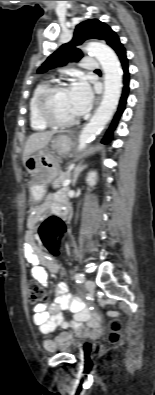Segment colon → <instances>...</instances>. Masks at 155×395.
<instances>
[{
  "instance_id": "obj_1",
  "label": "colon",
  "mask_w": 155,
  "mask_h": 395,
  "mask_svg": "<svg viewBox=\"0 0 155 395\" xmlns=\"http://www.w3.org/2000/svg\"><path fill=\"white\" fill-rule=\"evenodd\" d=\"M60 215H47L38 233L40 235L43 245L47 251H50L51 256H60L61 251L59 245L61 243V236L66 234L67 224L60 223ZM46 293L44 289L36 281L29 283V301L33 304L41 303L45 300ZM121 322L119 319H114L111 322L110 331L108 334V342L110 344H117L121 340Z\"/></svg>"
}]
</instances>
